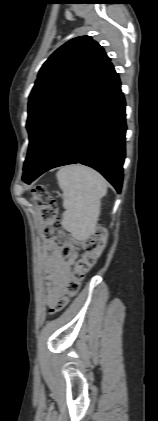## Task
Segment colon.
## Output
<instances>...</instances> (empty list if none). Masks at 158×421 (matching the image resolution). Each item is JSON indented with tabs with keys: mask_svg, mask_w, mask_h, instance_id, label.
<instances>
[{
	"mask_svg": "<svg viewBox=\"0 0 158 421\" xmlns=\"http://www.w3.org/2000/svg\"><path fill=\"white\" fill-rule=\"evenodd\" d=\"M33 196L40 208V216L44 223L43 233L60 249L61 256L64 259L70 258L75 245H79L84 250L66 283L65 296L53 308V311L59 312L76 296L85 274L101 256L107 243V232L104 228L97 227L83 238L69 237L62 228L55 198L41 185L33 189Z\"/></svg>",
	"mask_w": 158,
	"mask_h": 421,
	"instance_id": "colon-1",
	"label": "colon"
}]
</instances>
